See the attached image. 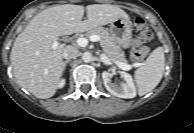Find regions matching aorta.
<instances>
[{
  "label": "aorta",
  "mask_w": 194,
  "mask_h": 133,
  "mask_svg": "<svg viewBox=\"0 0 194 133\" xmlns=\"http://www.w3.org/2000/svg\"><path fill=\"white\" fill-rule=\"evenodd\" d=\"M82 60L85 62V63H88L90 61H92V55L90 52H85L83 53L82 55Z\"/></svg>",
  "instance_id": "aorta-1"
}]
</instances>
